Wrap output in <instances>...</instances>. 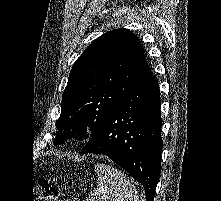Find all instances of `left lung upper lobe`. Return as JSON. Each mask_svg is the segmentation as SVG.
Segmentation results:
<instances>
[{
  "label": "left lung upper lobe",
  "instance_id": "1",
  "mask_svg": "<svg viewBox=\"0 0 221 201\" xmlns=\"http://www.w3.org/2000/svg\"><path fill=\"white\" fill-rule=\"evenodd\" d=\"M151 76L136 35L124 28L105 33L90 44L71 69L58 129L72 126L75 138L82 140L89 125L94 134L115 105ZM74 133L57 132L54 143L61 144Z\"/></svg>",
  "mask_w": 221,
  "mask_h": 201
}]
</instances>
